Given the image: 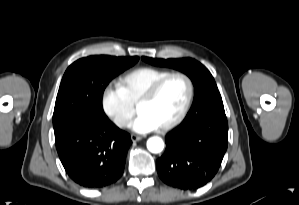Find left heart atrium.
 I'll return each instance as SVG.
<instances>
[{
    "mask_svg": "<svg viewBox=\"0 0 299 205\" xmlns=\"http://www.w3.org/2000/svg\"><path fill=\"white\" fill-rule=\"evenodd\" d=\"M130 127L137 133H148L158 128L157 123L144 113H139L132 121Z\"/></svg>",
    "mask_w": 299,
    "mask_h": 205,
    "instance_id": "obj_1",
    "label": "left heart atrium"
}]
</instances>
